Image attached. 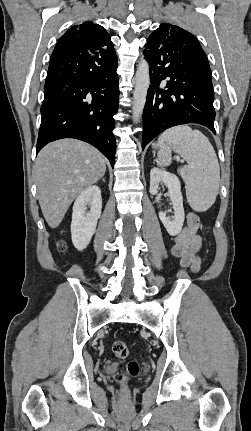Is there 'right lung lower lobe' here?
<instances>
[{
  "label": "right lung lower lobe",
  "instance_id": "1",
  "mask_svg": "<svg viewBox=\"0 0 251 431\" xmlns=\"http://www.w3.org/2000/svg\"><path fill=\"white\" fill-rule=\"evenodd\" d=\"M117 58L106 62L97 52L73 54L54 49L41 106L37 153L49 142L76 138L115 162L112 133L118 110Z\"/></svg>",
  "mask_w": 251,
  "mask_h": 431
}]
</instances>
